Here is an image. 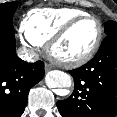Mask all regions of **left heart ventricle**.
Masks as SVG:
<instances>
[{
    "label": "left heart ventricle",
    "mask_w": 117,
    "mask_h": 117,
    "mask_svg": "<svg viewBox=\"0 0 117 117\" xmlns=\"http://www.w3.org/2000/svg\"><path fill=\"white\" fill-rule=\"evenodd\" d=\"M98 26L94 20H84L58 44L56 53L64 58H77L86 54L95 42Z\"/></svg>",
    "instance_id": "b2bd125f"
}]
</instances>
